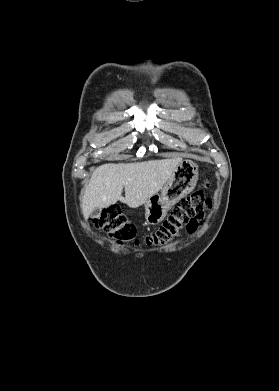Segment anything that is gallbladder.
Masks as SVG:
<instances>
[{"label": "gallbladder", "mask_w": 279, "mask_h": 391, "mask_svg": "<svg viewBox=\"0 0 279 391\" xmlns=\"http://www.w3.org/2000/svg\"><path fill=\"white\" fill-rule=\"evenodd\" d=\"M101 214V209L99 208H96L94 209V211L91 213V217L92 218H98Z\"/></svg>", "instance_id": "1"}]
</instances>
